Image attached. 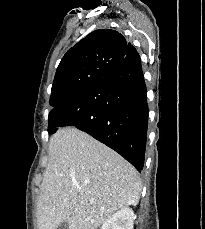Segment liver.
I'll use <instances>...</instances> for the list:
<instances>
[{
  "label": "liver",
  "mask_w": 205,
  "mask_h": 229,
  "mask_svg": "<svg viewBox=\"0 0 205 229\" xmlns=\"http://www.w3.org/2000/svg\"><path fill=\"white\" fill-rule=\"evenodd\" d=\"M37 206L38 229H97L117 210L136 206L142 190L135 168L76 128L49 141L48 165Z\"/></svg>",
  "instance_id": "6515ba94"
}]
</instances>
